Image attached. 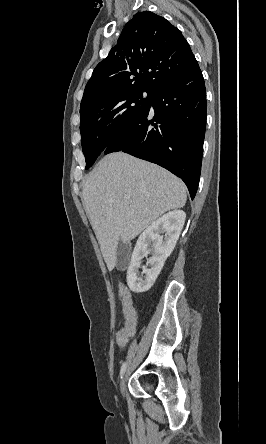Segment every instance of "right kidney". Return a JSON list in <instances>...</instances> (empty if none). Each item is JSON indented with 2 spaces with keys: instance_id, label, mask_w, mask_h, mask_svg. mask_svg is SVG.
Segmentation results:
<instances>
[{
  "instance_id": "1",
  "label": "right kidney",
  "mask_w": 266,
  "mask_h": 444,
  "mask_svg": "<svg viewBox=\"0 0 266 444\" xmlns=\"http://www.w3.org/2000/svg\"><path fill=\"white\" fill-rule=\"evenodd\" d=\"M185 219L184 211H171L154 221L139 236L127 269V284L131 291L142 293L153 286L176 245ZM150 253L152 257L147 259L149 268L142 266L144 276L138 277L141 260Z\"/></svg>"
}]
</instances>
